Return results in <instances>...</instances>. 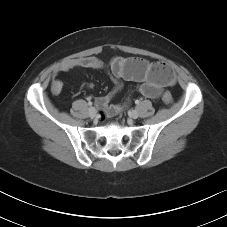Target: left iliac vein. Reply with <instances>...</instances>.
Here are the masks:
<instances>
[{
  "instance_id": "1",
  "label": "left iliac vein",
  "mask_w": 227,
  "mask_h": 227,
  "mask_svg": "<svg viewBox=\"0 0 227 227\" xmlns=\"http://www.w3.org/2000/svg\"><path fill=\"white\" fill-rule=\"evenodd\" d=\"M130 118L137 119L139 117V112L137 110H132L129 114Z\"/></svg>"
}]
</instances>
